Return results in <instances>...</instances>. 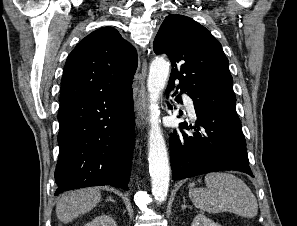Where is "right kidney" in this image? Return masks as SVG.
Returning a JSON list of instances; mask_svg holds the SVG:
<instances>
[{
	"label": "right kidney",
	"instance_id": "obj_1",
	"mask_svg": "<svg viewBox=\"0 0 297 226\" xmlns=\"http://www.w3.org/2000/svg\"><path fill=\"white\" fill-rule=\"evenodd\" d=\"M85 226H117L114 219L109 215H101L94 218Z\"/></svg>",
	"mask_w": 297,
	"mask_h": 226
}]
</instances>
